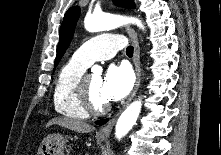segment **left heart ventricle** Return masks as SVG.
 Wrapping results in <instances>:
<instances>
[{"instance_id":"1","label":"left heart ventricle","mask_w":221,"mask_h":155,"mask_svg":"<svg viewBox=\"0 0 221 155\" xmlns=\"http://www.w3.org/2000/svg\"><path fill=\"white\" fill-rule=\"evenodd\" d=\"M88 80H89V86H90V91H91L93 101L99 106L108 103L109 101H107V99L104 97L102 93L101 75L90 74Z\"/></svg>"}]
</instances>
